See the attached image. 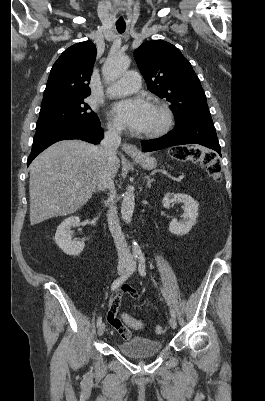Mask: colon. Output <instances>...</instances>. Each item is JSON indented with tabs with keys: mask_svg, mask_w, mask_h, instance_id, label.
<instances>
[{
	"mask_svg": "<svg viewBox=\"0 0 265 401\" xmlns=\"http://www.w3.org/2000/svg\"><path fill=\"white\" fill-rule=\"evenodd\" d=\"M170 154L178 161L191 160L195 163H198L207 171L208 175L214 181H218L221 177V165L215 154L211 152L202 151L196 147L180 146L173 148ZM107 318L109 323L118 330L121 337L125 340L130 338L131 332L124 326L123 323L134 329H141L143 327L142 321L137 320L126 313H122L121 317L119 318L117 315H114L112 311H109ZM155 332L157 334H162L164 332V328L160 325H157L155 327Z\"/></svg>",
	"mask_w": 265,
	"mask_h": 401,
	"instance_id": "1",
	"label": "colon"
}]
</instances>
